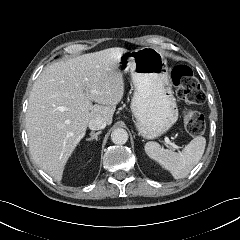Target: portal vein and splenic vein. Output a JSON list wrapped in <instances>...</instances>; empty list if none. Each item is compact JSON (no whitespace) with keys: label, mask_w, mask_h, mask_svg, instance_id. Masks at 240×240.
I'll use <instances>...</instances> for the list:
<instances>
[{"label":"portal vein and splenic vein","mask_w":240,"mask_h":240,"mask_svg":"<svg viewBox=\"0 0 240 240\" xmlns=\"http://www.w3.org/2000/svg\"><path fill=\"white\" fill-rule=\"evenodd\" d=\"M59 110L63 111L64 108H63V107H60ZM164 141H165V143H166L167 145H171V146H173L174 148H178L175 144L171 143V141H170V139H169L168 137H165V138H164Z\"/></svg>","instance_id":"portal-vein-and-splenic-vein-1"}]
</instances>
